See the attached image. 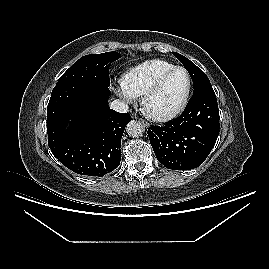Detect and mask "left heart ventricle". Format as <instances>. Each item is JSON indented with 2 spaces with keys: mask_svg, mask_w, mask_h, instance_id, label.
Returning a JSON list of instances; mask_svg holds the SVG:
<instances>
[{
  "mask_svg": "<svg viewBox=\"0 0 269 269\" xmlns=\"http://www.w3.org/2000/svg\"><path fill=\"white\" fill-rule=\"evenodd\" d=\"M187 88V76L183 71L174 72L149 103L150 111L163 113L176 107Z\"/></svg>",
  "mask_w": 269,
  "mask_h": 269,
  "instance_id": "obj_1",
  "label": "left heart ventricle"
}]
</instances>
